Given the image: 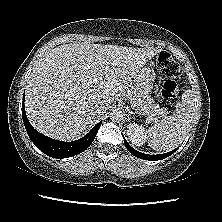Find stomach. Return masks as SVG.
Segmentation results:
<instances>
[{"instance_id": "1", "label": "stomach", "mask_w": 222, "mask_h": 222, "mask_svg": "<svg viewBox=\"0 0 222 222\" xmlns=\"http://www.w3.org/2000/svg\"><path fill=\"white\" fill-rule=\"evenodd\" d=\"M155 73L149 68H141L140 71L133 78L137 89L142 93L147 94L152 90Z\"/></svg>"}]
</instances>
